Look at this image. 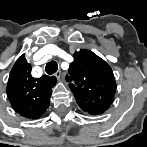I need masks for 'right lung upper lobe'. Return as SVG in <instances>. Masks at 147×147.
<instances>
[{
    "instance_id": "cb5924a9",
    "label": "right lung upper lobe",
    "mask_w": 147,
    "mask_h": 147,
    "mask_svg": "<svg viewBox=\"0 0 147 147\" xmlns=\"http://www.w3.org/2000/svg\"><path fill=\"white\" fill-rule=\"evenodd\" d=\"M56 77L31 76V65L22 55L14 64L7 84V95L13 109L25 118L37 119L49 107Z\"/></svg>"
}]
</instances>
